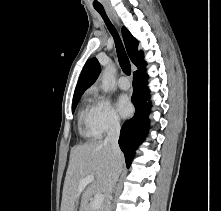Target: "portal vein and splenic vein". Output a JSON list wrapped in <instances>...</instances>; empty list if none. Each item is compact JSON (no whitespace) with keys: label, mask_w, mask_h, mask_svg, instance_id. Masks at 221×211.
Instances as JSON below:
<instances>
[{"label":"portal vein and splenic vein","mask_w":221,"mask_h":211,"mask_svg":"<svg viewBox=\"0 0 221 211\" xmlns=\"http://www.w3.org/2000/svg\"><path fill=\"white\" fill-rule=\"evenodd\" d=\"M94 181L93 176H87L83 180L80 181L78 189L81 191L83 190L88 184L92 183ZM104 202V195L103 194H96L94 196V199L91 203V207L93 209H97L102 206Z\"/></svg>","instance_id":"portal-vein-and-splenic-vein-1"}]
</instances>
